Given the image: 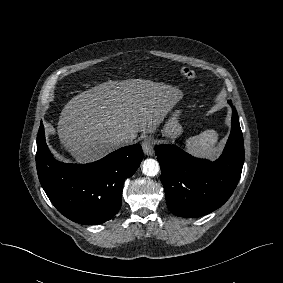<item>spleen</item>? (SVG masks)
<instances>
[{
  "mask_svg": "<svg viewBox=\"0 0 283 283\" xmlns=\"http://www.w3.org/2000/svg\"><path fill=\"white\" fill-rule=\"evenodd\" d=\"M217 141L218 133L215 130H206L187 139L186 149L196 156L213 157L216 153L214 145Z\"/></svg>",
  "mask_w": 283,
  "mask_h": 283,
  "instance_id": "1",
  "label": "spleen"
}]
</instances>
